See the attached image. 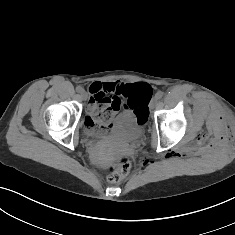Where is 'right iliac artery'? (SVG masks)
Masks as SVG:
<instances>
[{
	"label": "right iliac artery",
	"mask_w": 235,
	"mask_h": 235,
	"mask_svg": "<svg viewBox=\"0 0 235 235\" xmlns=\"http://www.w3.org/2000/svg\"><path fill=\"white\" fill-rule=\"evenodd\" d=\"M76 91H77L78 93H81V92L83 91V88H82L81 86H77V87H76Z\"/></svg>",
	"instance_id": "right-iliac-artery-1"
}]
</instances>
